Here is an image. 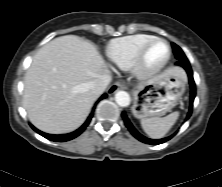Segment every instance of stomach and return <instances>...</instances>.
I'll list each match as a JSON object with an SVG mask.
<instances>
[{
	"mask_svg": "<svg viewBox=\"0 0 222 187\" xmlns=\"http://www.w3.org/2000/svg\"><path fill=\"white\" fill-rule=\"evenodd\" d=\"M183 72L167 70L134 91L132 113L136 118L160 117L170 112L185 91Z\"/></svg>",
	"mask_w": 222,
	"mask_h": 187,
	"instance_id": "obj_1",
	"label": "stomach"
}]
</instances>
